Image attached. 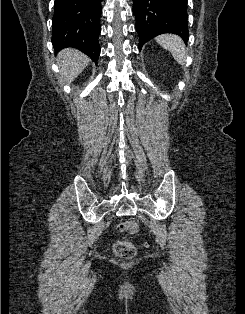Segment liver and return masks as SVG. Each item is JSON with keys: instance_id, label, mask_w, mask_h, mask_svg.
<instances>
[{"instance_id": "obj_1", "label": "liver", "mask_w": 245, "mask_h": 314, "mask_svg": "<svg viewBox=\"0 0 245 314\" xmlns=\"http://www.w3.org/2000/svg\"><path fill=\"white\" fill-rule=\"evenodd\" d=\"M90 59L75 49H64L57 55L61 81L71 83L89 64Z\"/></svg>"}]
</instances>
